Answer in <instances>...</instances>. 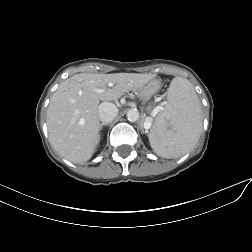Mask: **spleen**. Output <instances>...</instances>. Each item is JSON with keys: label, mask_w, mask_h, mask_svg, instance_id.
Returning <instances> with one entry per match:
<instances>
[{"label": "spleen", "mask_w": 252, "mask_h": 252, "mask_svg": "<svg viewBox=\"0 0 252 252\" xmlns=\"http://www.w3.org/2000/svg\"><path fill=\"white\" fill-rule=\"evenodd\" d=\"M201 104L189 80L176 77L169 86L165 109L148 135L153 151L163 158H177L198 142L203 126Z\"/></svg>", "instance_id": "3e777b00"}]
</instances>
